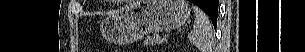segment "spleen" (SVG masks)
<instances>
[{"instance_id": "3e777b00", "label": "spleen", "mask_w": 305, "mask_h": 52, "mask_svg": "<svg viewBox=\"0 0 305 52\" xmlns=\"http://www.w3.org/2000/svg\"><path fill=\"white\" fill-rule=\"evenodd\" d=\"M192 8L195 13V21L188 39L200 52H213L214 38L210 20L199 7L194 5Z\"/></svg>"}]
</instances>
